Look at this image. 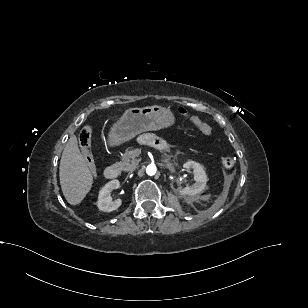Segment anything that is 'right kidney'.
<instances>
[{
	"label": "right kidney",
	"mask_w": 308,
	"mask_h": 308,
	"mask_svg": "<svg viewBox=\"0 0 308 308\" xmlns=\"http://www.w3.org/2000/svg\"><path fill=\"white\" fill-rule=\"evenodd\" d=\"M119 186H120L119 181L117 179H114L106 183L101 188V190L99 191L98 201H97V207L99 210L103 212H112L121 206L122 204L121 199L112 201L111 198V191L119 188Z\"/></svg>",
	"instance_id": "ca27d5eb"
}]
</instances>
